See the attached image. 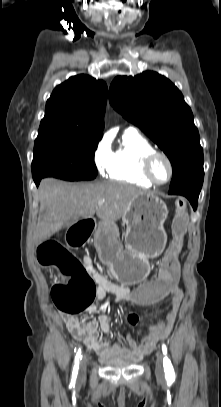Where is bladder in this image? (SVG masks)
Wrapping results in <instances>:
<instances>
[{"label": "bladder", "mask_w": 221, "mask_h": 407, "mask_svg": "<svg viewBox=\"0 0 221 407\" xmlns=\"http://www.w3.org/2000/svg\"><path fill=\"white\" fill-rule=\"evenodd\" d=\"M102 362L113 367H130L137 363V360H121V359H106L102 358Z\"/></svg>", "instance_id": "1"}]
</instances>
